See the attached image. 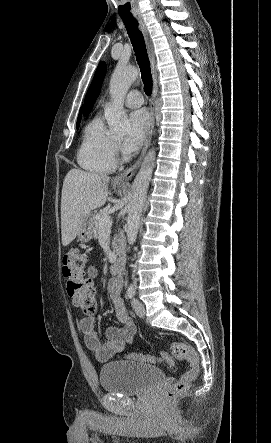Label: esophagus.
Returning <instances> with one entry per match:
<instances>
[{
    "label": "esophagus",
    "instance_id": "obj_1",
    "mask_svg": "<svg viewBox=\"0 0 271 443\" xmlns=\"http://www.w3.org/2000/svg\"><path fill=\"white\" fill-rule=\"evenodd\" d=\"M135 18L137 19V21L139 23L140 30L145 38V42L147 45L151 73H152V79H153V90H152V97L150 99V120H149L148 137L146 139V142H145V145L142 149V152H141L139 158L137 159V161L131 167L127 168L124 172L120 173L119 175L114 177L112 180L113 183L119 184L121 186L128 185L129 181L136 174V172H137L138 168L140 167L141 162L144 158V155L150 146V142H151L153 130H154V123H155V100H156V96L158 93L157 66H156V60H155V55L153 52L152 43L149 38V31H148L147 25L144 21L143 15H135Z\"/></svg>",
    "mask_w": 271,
    "mask_h": 443
}]
</instances>
